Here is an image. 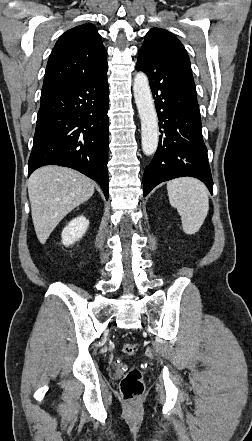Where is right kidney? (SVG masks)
<instances>
[{
  "label": "right kidney",
  "mask_w": 252,
  "mask_h": 441,
  "mask_svg": "<svg viewBox=\"0 0 252 441\" xmlns=\"http://www.w3.org/2000/svg\"><path fill=\"white\" fill-rule=\"evenodd\" d=\"M88 226L89 220L84 216L72 219L62 231V243L65 246H69L79 241L86 233Z\"/></svg>",
  "instance_id": "right-kidney-1"
}]
</instances>
